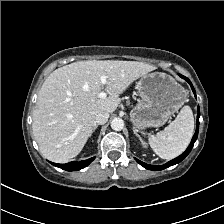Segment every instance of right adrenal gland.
Wrapping results in <instances>:
<instances>
[{
  "label": "right adrenal gland",
  "mask_w": 224,
  "mask_h": 224,
  "mask_svg": "<svg viewBox=\"0 0 224 224\" xmlns=\"http://www.w3.org/2000/svg\"><path fill=\"white\" fill-rule=\"evenodd\" d=\"M97 128H98V124H97V125H95V127H94V131H95Z\"/></svg>",
  "instance_id": "obj_1"
}]
</instances>
